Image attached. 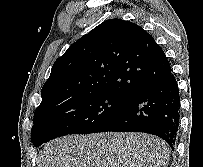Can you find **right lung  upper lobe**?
I'll return each instance as SVG.
<instances>
[{"instance_id": "obj_1", "label": "right lung upper lobe", "mask_w": 203, "mask_h": 167, "mask_svg": "<svg viewBox=\"0 0 203 167\" xmlns=\"http://www.w3.org/2000/svg\"><path fill=\"white\" fill-rule=\"evenodd\" d=\"M170 72L163 50L142 27L122 19L106 20L54 62L36 111L100 92L129 99Z\"/></svg>"}]
</instances>
